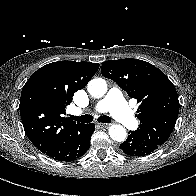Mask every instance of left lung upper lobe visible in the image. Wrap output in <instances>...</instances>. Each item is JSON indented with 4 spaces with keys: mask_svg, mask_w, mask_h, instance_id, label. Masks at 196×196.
Segmentation results:
<instances>
[{
    "mask_svg": "<svg viewBox=\"0 0 196 196\" xmlns=\"http://www.w3.org/2000/svg\"><path fill=\"white\" fill-rule=\"evenodd\" d=\"M101 73L140 104L136 114L140 126L134 132L161 146L172 133L179 113L173 83L152 64L133 58L106 61Z\"/></svg>",
    "mask_w": 196,
    "mask_h": 196,
    "instance_id": "1",
    "label": "left lung upper lobe"
}]
</instances>
